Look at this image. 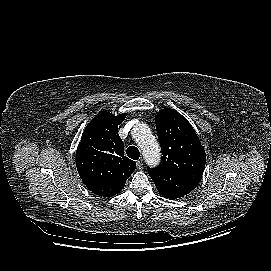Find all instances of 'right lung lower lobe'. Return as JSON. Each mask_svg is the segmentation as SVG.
<instances>
[{"label":"right lung lower lobe","instance_id":"1","mask_svg":"<svg viewBox=\"0 0 271 271\" xmlns=\"http://www.w3.org/2000/svg\"><path fill=\"white\" fill-rule=\"evenodd\" d=\"M89 188V190H91L94 194H96V195H99V196H103V197H105L104 195H106V194H112L111 192L113 191V186H111V185H98V186H94V187H91V186H89L88 187ZM122 190V189H121ZM120 190V191H121ZM120 191H117V193L118 192H120ZM116 192V191H115ZM116 193V194H117ZM115 195V194H114ZM113 196V195H112ZM108 197H110V196H108Z\"/></svg>","mask_w":271,"mask_h":271}]
</instances>
